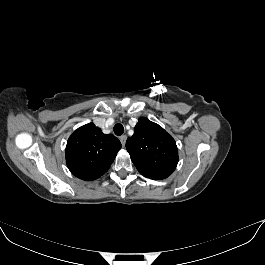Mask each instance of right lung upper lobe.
Here are the masks:
<instances>
[{"mask_svg":"<svg viewBox=\"0 0 265 265\" xmlns=\"http://www.w3.org/2000/svg\"><path fill=\"white\" fill-rule=\"evenodd\" d=\"M121 149L118 138L103 134L93 123L78 128L68 139L65 156L70 172L82 180H95L107 172Z\"/></svg>","mask_w":265,"mask_h":265,"instance_id":"obj_1","label":"right lung upper lobe"}]
</instances>
